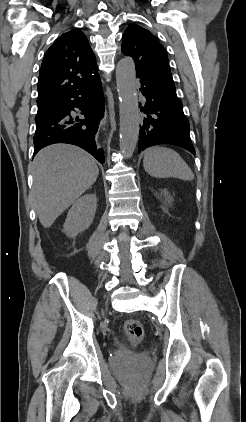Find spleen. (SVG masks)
<instances>
[{
    "instance_id": "1",
    "label": "spleen",
    "mask_w": 246,
    "mask_h": 422,
    "mask_svg": "<svg viewBox=\"0 0 246 422\" xmlns=\"http://www.w3.org/2000/svg\"><path fill=\"white\" fill-rule=\"evenodd\" d=\"M145 171L156 178L176 177L191 181L194 174L182 157L173 149L161 146L146 150L143 160Z\"/></svg>"
}]
</instances>
